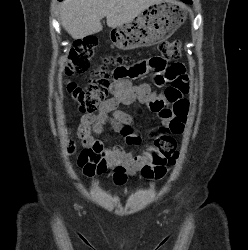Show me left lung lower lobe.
Segmentation results:
<instances>
[{
    "instance_id": "obj_1",
    "label": "left lung lower lobe",
    "mask_w": 248,
    "mask_h": 250,
    "mask_svg": "<svg viewBox=\"0 0 248 250\" xmlns=\"http://www.w3.org/2000/svg\"><path fill=\"white\" fill-rule=\"evenodd\" d=\"M185 3H191L189 0H182Z\"/></svg>"
}]
</instances>
